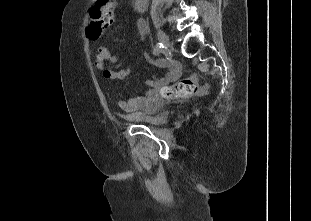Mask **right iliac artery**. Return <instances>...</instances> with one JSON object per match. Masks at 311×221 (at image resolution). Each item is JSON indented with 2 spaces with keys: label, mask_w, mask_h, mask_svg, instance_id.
<instances>
[{
  "label": "right iliac artery",
  "mask_w": 311,
  "mask_h": 221,
  "mask_svg": "<svg viewBox=\"0 0 311 221\" xmlns=\"http://www.w3.org/2000/svg\"><path fill=\"white\" fill-rule=\"evenodd\" d=\"M162 50H163V44L157 43L153 49V54L158 55L159 53H161Z\"/></svg>",
  "instance_id": "1"
}]
</instances>
